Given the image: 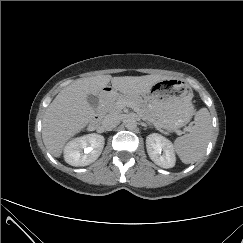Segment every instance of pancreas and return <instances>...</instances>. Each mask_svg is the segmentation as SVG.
Returning <instances> with one entry per match:
<instances>
[{"instance_id": "obj_1", "label": "pancreas", "mask_w": 243, "mask_h": 243, "mask_svg": "<svg viewBox=\"0 0 243 243\" xmlns=\"http://www.w3.org/2000/svg\"><path fill=\"white\" fill-rule=\"evenodd\" d=\"M122 105L132 107L145 119L156 120V118L147 110L144 102L140 98H133L125 95H114L104 104L102 111L105 114H120L123 108Z\"/></svg>"}]
</instances>
